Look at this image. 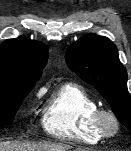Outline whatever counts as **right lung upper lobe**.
<instances>
[{
    "instance_id": "cb5924a9",
    "label": "right lung upper lobe",
    "mask_w": 131,
    "mask_h": 151,
    "mask_svg": "<svg viewBox=\"0 0 131 151\" xmlns=\"http://www.w3.org/2000/svg\"><path fill=\"white\" fill-rule=\"evenodd\" d=\"M0 51V84L34 86L47 63V47L19 37L4 41Z\"/></svg>"
}]
</instances>
